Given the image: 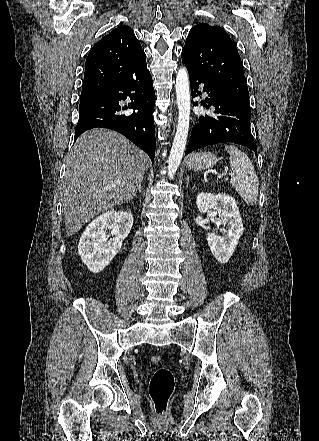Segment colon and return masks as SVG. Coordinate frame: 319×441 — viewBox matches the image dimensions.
Returning <instances> with one entry per match:
<instances>
[{"label":"colon","mask_w":319,"mask_h":441,"mask_svg":"<svg viewBox=\"0 0 319 441\" xmlns=\"http://www.w3.org/2000/svg\"><path fill=\"white\" fill-rule=\"evenodd\" d=\"M150 362L159 365L162 362L160 355H152ZM175 387L172 371L166 367L158 368L152 375L149 385V394L152 399L156 415L165 417Z\"/></svg>","instance_id":"1"}]
</instances>
